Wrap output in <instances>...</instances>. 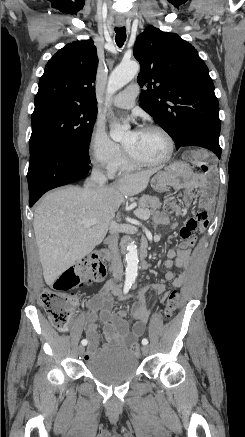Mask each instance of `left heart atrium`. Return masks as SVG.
<instances>
[{
    "label": "left heart atrium",
    "mask_w": 245,
    "mask_h": 437,
    "mask_svg": "<svg viewBox=\"0 0 245 437\" xmlns=\"http://www.w3.org/2000/svg\"><path fill=\"white\" fill-rule=\"evenodd\" d=\"M138 132V130H135V131H133L132 133H137Z\"/></svg>",
    "instance_id": "left-heart-atrium-1"
}]
</instances>
